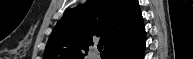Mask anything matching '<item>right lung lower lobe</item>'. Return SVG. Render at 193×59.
Returning <instances> with one entry per match:
<instances>
[{
    "instance_id": "98d812e1",
    "label": "right lung lower lobe",
    "mask_w": 193,
    "mask_h": 59,
    "mask_svg": "<svg viewBox=\"0 0 193 59\" xmlns=\"http://www.w3.org/2000/svg\"><path fill=\"white\" fill-rule=\"evenodd\" d=\"M145 49V31L139 34L133 40L120 46L105 59H143Z\"/></svg>"
}]
</instances>
